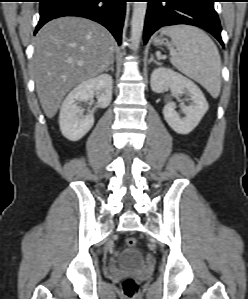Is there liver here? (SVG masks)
Returning <instances> with one entry per match:
<instances>
[{
  "mask_svg": "<svg viewBox=\"0 0 248 299\" xmlns=\"http://www.w3.org/2000/svg\"><path fill=\"white\" fill-rule=\"evenodd\" d=\"M32 70L48 118L76 85L104 72L114 59V39L102 25L80 17H61L36 35Z\"/></svg>",
  "mask_w": 248,
  "mask_h": 299,
  "instance_id": "6515ba94",
  "label": "liver"
}]
</instances>
